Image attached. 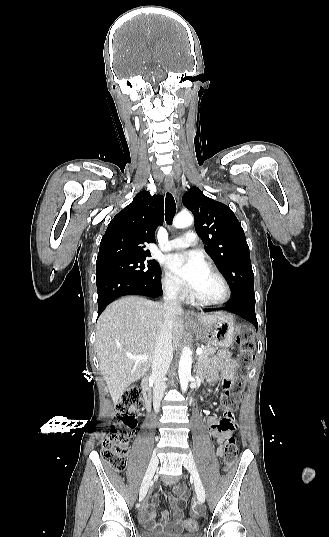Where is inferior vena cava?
<instances>
[{"instance_id":"inferior-vena-cava-1","label":"inferior vena cava","mask_w":329,"mask_h":537,"mask_svg":"<svg viewBox=\"0 0 329 537\" xmlns=\"http://www.w3.org/2000/svg\"><path fill=\"white\" fill-rule=\"evenodd\" d=\"M176 297L175 287L167 289L164 296V322L155 345L152 378L154 380L153 406L156 413L159 411L160 402L167 387L164 378L173 358L172 331L174 317L182 312L180 302Z\"/></svg>"}]
</instances>
